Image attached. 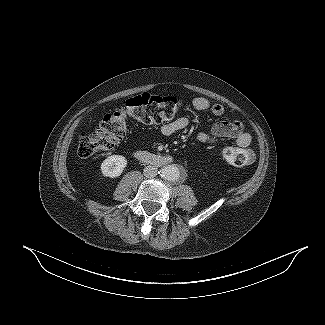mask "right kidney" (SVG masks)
<instances>
[{"mask_svg": "<svg viewBox=\"0 0 325 325\" xmlns=\"http://www.w3.org/2000/svg\"><path fill=\"white\" fill-rule=\"evenodd\" d=\"M127 166V160L122 155H111L107 157L101 164V172L103 176L115 178L122 174Z\"/></svg>", "mask_w": 325, "mask_h": 325, "instance_id": "right-kidney-1", "label": "right kidney"}]
</instances>
